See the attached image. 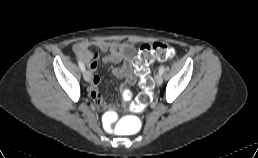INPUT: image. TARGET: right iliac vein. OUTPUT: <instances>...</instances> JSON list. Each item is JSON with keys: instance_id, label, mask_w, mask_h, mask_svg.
<instances>
[{"instance_id": "63e3f726", "label": "right iliac vein", "mask_w": 258, "mask_h": 158, "mask_svg": "<svg viewBox=\"0 0 258 158\" xmlns=\"http://www.w3.org/2000/svg\"><path fill=\"white\" fill-rule=\"evenodd\" d=\"M83 77H84L85 81L89 82L91 79V73L88 70H84Z\"/></svg>"}]
</instances>
